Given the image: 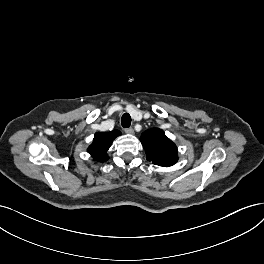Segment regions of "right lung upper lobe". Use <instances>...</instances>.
I'll use <instances>...</instances> for the list:
<instances>
[{
    "label": "right lung upper lobe",
    "instance_id": "1",
    "mask_svg": "<svg viewBox=\"0 0 264 264\" xmlns=\"http://www.w3.org/2000/svg\"><path fill=\"white\" fill-rule=\"evenodd\" d=\"M121 133L118 130H114L106 133H96L93 139V143L88 148V153L97 161L104 162L108 160L107 151L111 146L113 140Z\"/></svg>",
    "mask_w": 264,
    "mask_h": 264
}]
</instances>
